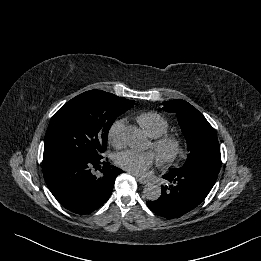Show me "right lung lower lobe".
<instances>
[{"label":"right lung lower lobe","instance_id":"1","mask_svg":"<svg viewBox=\"0 0 261 261\" xmlns=\"http://www.w3.org/2000/svg\"><path fill=\"white\" fill-rule=\"evenodd\" d=\"M93 168H101L102 175H93ZM121 173V169L103 161L101 155L43 159V175L49 190L63 207L80 215L91 213L108 200L114 181Z\"/></svg>","mask_w":261,"mask_h":261}]
</instances>
